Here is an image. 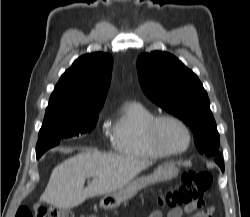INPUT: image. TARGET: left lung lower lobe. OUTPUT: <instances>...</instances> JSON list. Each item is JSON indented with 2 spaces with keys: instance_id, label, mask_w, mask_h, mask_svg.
Returning <instances> with one entry per match:
<instances>
[{
  "instance_id": "1",
  "label": "left lung lower lobe",
  "mask_w": 250,
  "mask_h": 217,
  "mask_svg": "<svg viewBox=\"0 0 250 217\" xmlns=\"http://www.w3.org/2000/svg\"><path fill=\"white\" fill-rule=\"evenodd\" d=\"M216 163L220 166L221 170L224 171V162L220 157H216L215 159Z\"/></svg>"
}]
</instances>
